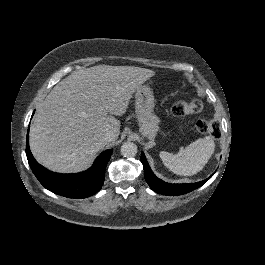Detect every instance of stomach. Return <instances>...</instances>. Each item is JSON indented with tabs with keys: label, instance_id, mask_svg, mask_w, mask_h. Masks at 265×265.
Returning a JSON list of instances; mask_svg holds the SVG:
<instances>
[{
	"label": "stomach",
	"instance_id": "obj_1",
	"mask_svg": "<svg viewBox=\"0 0 265 265\" xmlns=\"http://www.w3.org/2000/svg\"><path fill=\"white\" fill-rule=\"evenodd\" d=\"M154 95L148 85L135 90V112L139 122V131L144 137L153 139L159 130V118L153 112Z\"/></svg>",
	"mask_w": 265,
	"mask_h": 265
}]
</instances>
